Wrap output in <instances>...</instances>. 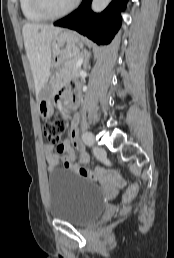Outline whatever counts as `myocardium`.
<instances>
[{
  "instance_id": "1",
  "label": "myocardium",
  "mask_w": 174,
  "mask_h": 258,
  "mask_svg": "<svg viewBox=\"0 0 174 258\" xmlns=\"http://www.w3.org/2000/svg\"><path fill=\"white\" fill-rule=\"evenodd\" d=\"M33 3L36 10L44 17L47 19H56L63 17L73 11L78 4V0L72 1L68 7L58 12L53 11L47 4L46 0H33Z\"/></svg>"
}]
</instances>
